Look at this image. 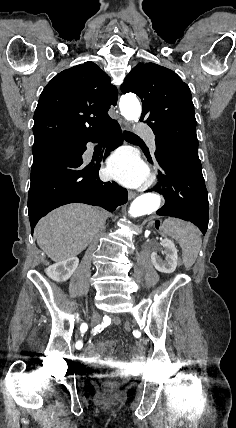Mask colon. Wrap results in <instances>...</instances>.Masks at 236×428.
I'll return each mask as SVG.
<instances>
[{
    "mask_svg": "<svg viewBox=\"0 0 236 428\" xmlns=\"http://www.w3.org/2000/svg\"><path fill=\"white\" fill-rule=\"evenodd\" d=\"M124 328H125V330L129 331L131 329L130 323H128V322L125 323Z\"/></svg>",
    "mask_w": 236,
    "mask_h": 428,
    "instance_id": "5ec220e1",
    "label": "colon"
}]
</instances>
